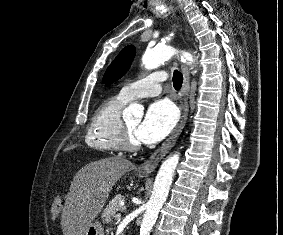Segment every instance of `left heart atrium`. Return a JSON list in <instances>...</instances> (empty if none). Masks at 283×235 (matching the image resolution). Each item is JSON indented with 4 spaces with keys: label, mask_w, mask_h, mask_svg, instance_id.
Masks as SVG:
<instances>
[{
    "label": "left heart atrium",
    "mask_w": 283,
    "mask_h": 235,
    "mask_svg": "<svg viewBox=\"0 0 283 235\" xmlns=\"http://www.w3.org/2000/svg\"><path fill=\"white\" fill-rule=\"evenodd\" d=\"M176 122L177 112L173 104L167 100L156 101L137 127L136 138L143 143H156L169 134Z\"/></svg>",
    "instance_id": "39dd6f15"
}]
</instances>
